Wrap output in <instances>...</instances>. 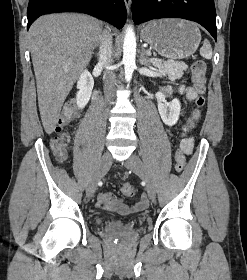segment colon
Instances as JSON below:
<instances>
[{"instance_id":"obj_1","label":"colon","mask_w":247,"mask_h":280,"mask_svg":"<svg viewBox=\"0 0 247 280\" xmlns=\"http://www.w3.org/2000/svg\"><path fill=\"white\" fill-rule=\"evenodd\" d=\"M191 80L194 89L197 92L195 104L197 109L192 113L191 126H194L195 121L200 116L199 108L204 105L203 94L205 92V81H206V64L204 61H196L193 63L191 68ZM76 115L75 105L73 102H69L64 107V110L58 120L56 126L57 136L51 141V146L54 154L58 159L64 160L67 155V142L69 140L68 134L65 132L67 126ZM186 164V157L182 150H177L174 157V167L177 172H181ZM121 192L126 196H133L135 189L130 183H123L120 187Z\"/></svg>"}]
</instances>
